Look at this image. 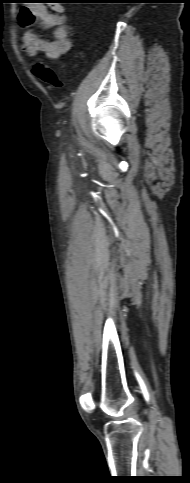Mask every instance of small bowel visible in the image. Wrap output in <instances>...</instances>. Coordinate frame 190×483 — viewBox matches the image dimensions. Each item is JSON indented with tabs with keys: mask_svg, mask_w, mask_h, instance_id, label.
Instances as JSON below:
<instances>
[{
	"mask_svg": "<svg viewBox=\"0 0 190 483\" xmlns=\"http://www.w3.org/2000/svg\"><path fill=\"white\" fill-rule=\"evenodd\" d=\"M34 3L20 9L18 21L24 27L39 21L42 27L51 30L52 39L48 40L26 30L22 36V48L32 57L41 53L50 60H59L70 51L72 46L70 39L72 29L64 22V8L61 5H53L48 9L42 2Z\"/></svg>",
	"mask_w": 190,
	"mask_h": 483,
	"instance_id": "1",
	"label": "small bowel"
}]
</instances>
